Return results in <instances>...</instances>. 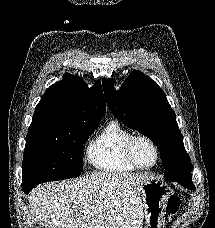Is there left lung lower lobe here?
I'll list each match as a JSON object with an SVG mask.
<instances>
[{
    "label": "left lung lower lobe",
    "mask_w": 215,
    "mask_h": 228,
    "mask_svg": "<svg viewBox=\"0 0 215 228\" xmlns=\"http://www.w3.org/2000/svg\"><path fill=\"white\" fill-rule=\"evenodd\" d=\"M169 181L177 182L190 190H195L191 177L184 179H169Z\"/></svg>",
    "instance_id": "1"
}]
</instances>
